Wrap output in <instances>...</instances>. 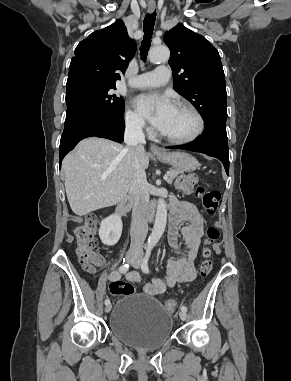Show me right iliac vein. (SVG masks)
Segmentation results:
<instances>
[{
  "label": "right iliac vein",
  "instance_id": "1",
  "mask_svg": "<svg viewBox=\"0 0 291 381\" xmlns=\"http://www.w3.org/2000/svg\"><path fill=\"white\" fill-rule=\"evenodd\" d=\"M136 259H137V256L135 254L129 253L125 256V262L126 263H133L134 261H136ZM111 308H112V305L107 304L105 307V312L106 313L110 312Z\"/></svg>",
  "mask_w": 291,
  "mask_h": 381
}]
</instances>
